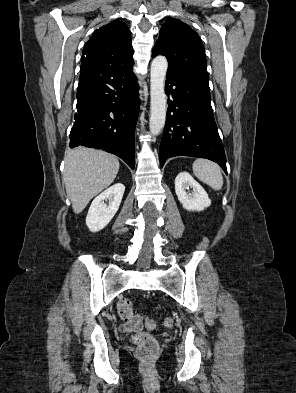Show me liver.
I'll return each instance as SVG.
<instances>
[{
    "label": "liver",
    "mask_w": 296,
    "mask_h": 393,
    "mask_svg": "<svg viewBox=\"0 0 296 393\" xmlns=\"http://www.w3.org/2000/svg\"><path fill=\"white\" fill-rule=\"evenodd\" d=\"M119 166L118 159L104 151L78 147L67 152L63 182L75 214L113 183Z\"/></svg>",
    "instance_id": "1"
}]
</instances>
